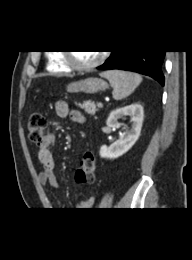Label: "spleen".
Segmentation results:
<instances>
[{
	"label": "spleen",
	"mask_w": 192,
	"mask_h": 260,
	"mask_svg": "<svg viewBox=\"0 0 192 260\" xmlns=\"http://www.w3.org/2000/svg\"><path fill=\"white\" fill-rule=\"evenodd\" d=\"M100 76L109 81L113 88L112 95L115 100L128 97L142 82V77L137 73L121 70L104 71Z\"/></svg>",
	"instance_id": "3e777b00"
}]
</instances>
